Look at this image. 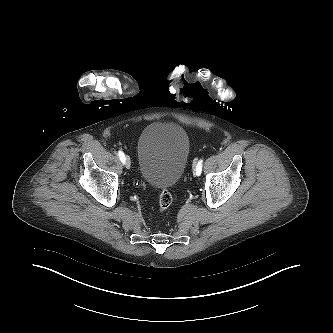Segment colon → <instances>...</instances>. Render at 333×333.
<instances>
[{"instance_id":"colon-1","label":"colon","mask_w":333,"mask_h":333,"mask_svg":"<svg viewBox=\"0 0 333 333\" xmlns=\"http://www.w3.org/2000/svg\"><path fill=\"white\" fill-rule=\"evenodd\" d=\"M158 204L161 212L166 211L171 206L172 195L166 188L161 189L159 193Z\"/></svg>"}]
</instances>
